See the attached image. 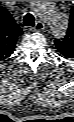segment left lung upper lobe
Here are the masks:
<instances>
[{
  "mask_svg": "<svg viewBox=\"0 0 74 122\" xmlns=\"http://www.w3.org/2000/svg\"><path fill=\"white\" fill-rule=\"evenodd\" d=\"M55 45L64 57L74 58V8L71 9L70 23L65 37L55 40Z\"/></svg>",
  "mask_w": 74,
  "mask_h": 122,
  "instance_id": "left-lung-upper-lobe-1",
  "label": "left lung upper lobe"
}]
</instances>
